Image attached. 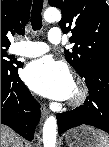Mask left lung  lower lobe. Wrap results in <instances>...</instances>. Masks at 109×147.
Listing matches in <instances>:
<instances>
[{"label":"left lung lower lobe","mask_w":109,"mask_h":147,"mask_svg":"<svg viewBox=\"0 0 109 147\" xmlns=\"http://www.w3.org/2000/svg\"><path fill=\"white\" fill-rule=\"evenodd\" d=\"M84 79L90 97L75 110L57 115L59 135L82 124L109 133V64L92 63Z\"/></svg>","instance_id":"0a47b994"}]
</instances>
